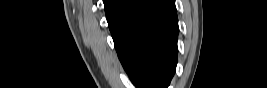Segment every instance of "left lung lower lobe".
<instances>
[{"mask_svg":"<svg viewBox=\"0 0 267 88\" xmlns=\"http://www.w3.org/2000/svg\"><path fill=\"white\" fill-rule=\"evenodd\" d=\"M118 57L138 88H167L177 63L174 0H104Z\"/></svg>","mask_w":267,"mask_h":88,"instance_id":"left-lung-lower-lobe-1","label":"left lung lower lobe"}]
</instances>
